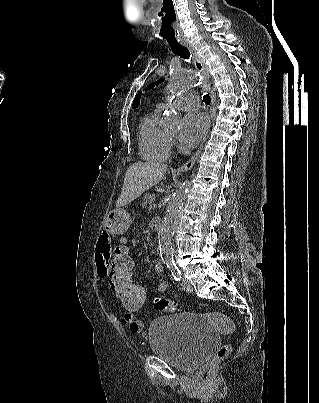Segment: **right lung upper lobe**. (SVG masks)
Returning <instances> with one entry per match:
<instances>
[{
  "label": "right lung upper lobe",
  "instance_id": "cb5924a9",
  "mask_svg": "<svg viewBox=\"0 0 319 403\" xmlns=\"http://www.w3.org/2000/svg\"><path fill=\"white\" fill-rule=\"evenodd\" d=\"M140 96H141V92H139L138 95H137V97L134 99V103H133V105H132L133 108L138 107Z\"/></svg>",
  "mask_w": 319,
  "mask_h": 403
}]
</instances>
